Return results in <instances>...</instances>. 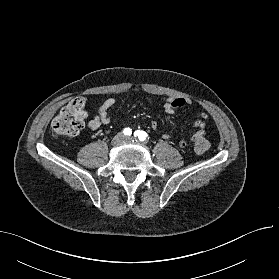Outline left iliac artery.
<instances>
[{"instance_id":"1","label":"left iliac artery","mask_w":279,"mask_h":279,"mask_svg":"<svg viewBox=\"0 0 279 279\" xmlns=\"http://www.w3.org/2000/svg\"><path fill=\"white\" fill-rule=\"evenodd\" d=\"M134 136L137 137L140 141H145L148 137L147 133L141 130L135 131Z\"/></svg>"}]
</instances>
